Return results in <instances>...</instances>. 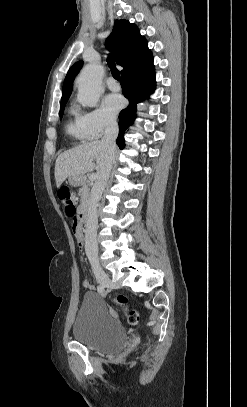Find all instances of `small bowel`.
Wrapping results in <instances>:
<instances>
[{
    "instance_id": "small-bowel-1",
    "label": "small bowel",
    "mask_w": 247,
    "mask_h": 407,
    "mask_svg": "<svg viewBox=\"0 0 247 407\" xmlns=\"http://www.w3.org/2000/svg\"><path fill=\"white\" fill-rule=\"evenodd\" d=\"M73 232H74V235H75V237H76V240H77L78 245H79L80 247H82V246H83L82 231H81V228L79 227V225L76 224V223L73 225ZM83 286H84L86 289H92V288H93V286L91 285V283H90L88 280H84V281H83Z\"/></svg>"
}]
</instances>
